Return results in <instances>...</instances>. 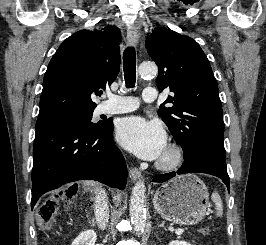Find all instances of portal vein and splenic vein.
<instances>
[{
  "label": "portal vein and splenic vein",
  "instance_id": "18ae733b",
  "mask_svg": "<svg viewBox=\"0 0 266 245\" xmlns=\"http://www.w3.org/2000/svg\"><path fill=\"white\" fill-rule=\"evenodd\" d=\"M176 235H182L184 233L183 229H178V231H175Z\"/></svg>",
  "mask_w": 266,
  "mask_h": 245
}]
</instances>
